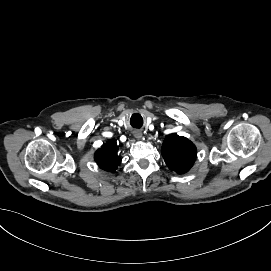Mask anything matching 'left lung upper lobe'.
<instances>
[{"mask_svg": "<svg viewBox=\"0 0 271 271\" xmlns=\"http://www.w3.org/2000/svg\"><path fill=\"white\" fill-rule=\"evenodd\" d=\"M161 154L170 170L184 174L193 166L197 150L187 138L170 134L165 137Z\"/></svg>", "mask_w": 271, "mask_h": 271, "instance_id": "1", "label": "left lung upper lobe"}]
</instances>
